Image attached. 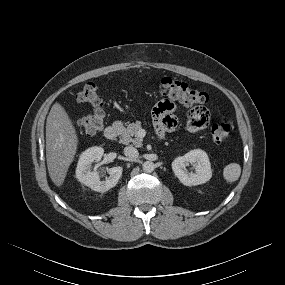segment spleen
Returning <instances> with one entry per match:
<instances>
[{"label": "spleen", "mask_w": 285, "mask_h": 285, "mask_svg": "<svg viewBox=\"0 0 285 285\" xmlns=\"http://www.w3.org/2000/svg\"><path fill=\"white\" fill-rule=\"evenodd\" d=\"M241 174V167L237 163H230L225 166L223 170V176L225 180L229 183H233L239 179Z\"/></svg>", "instance_id": "spleen-1"}]
</instances>
